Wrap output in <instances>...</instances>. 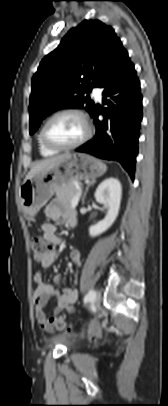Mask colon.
<instances>
[{
    "label": "colon",
    "mask_w": 168,
    "mask_h": 406,
    "mask_svg": "<svg viewBox=\"0 0 168 406\" xmlns=\"http://www.w3.org/2000/svg\"><path fill=\"white\" fill-rule=\"evenodd\" d=\"M33 258L37 263L45 262L53 251V246L42 237L34 236L31 240ZM51 323L59 330H68L70 325L65 320L63 315L54 317Z\"/></svg>",
    "instance_id": "1"
}]
</instances>
